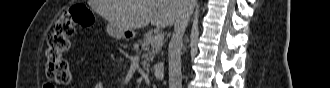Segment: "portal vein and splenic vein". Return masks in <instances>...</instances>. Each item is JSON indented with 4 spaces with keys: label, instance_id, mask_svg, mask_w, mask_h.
<instances>
[{
    "label": "portal vein and splenic vein",
    "instance_id": "18ae733b",
    "mask_svg": "<svg viewBox=\"0 0 330 88\" xmlns=\"http://www.w3.org/2000/svg\"><path fill=\"white\" fill-rule=\"evenodd\" d=\"M164 35L162 32H157L155 35V44L154 45H160L163 42Z\"/></svg>",
    "mask_w": 330,
    "mask_h": 88
}]
</instances>
